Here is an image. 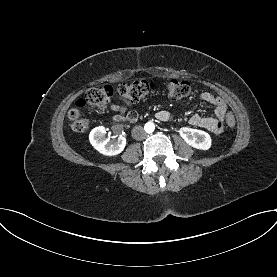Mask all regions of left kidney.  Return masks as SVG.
Listing matches in <instances>:
<instances>
[{"label": "left kidney", "instance_id": "1", "mask_svg": "<svg viewBox=\"0 0 277 277\" xmlns=\"http://www.w3.org/2000/svg\"><path fill=\"white\" fill-rule=\"evenodd\" d=\"M179 134L193 148L208 150L211 147V137L205 131L183 127L179 130Z\"/></svg>", "mask_w": 277, "mask_h": 277}]
</instances>
